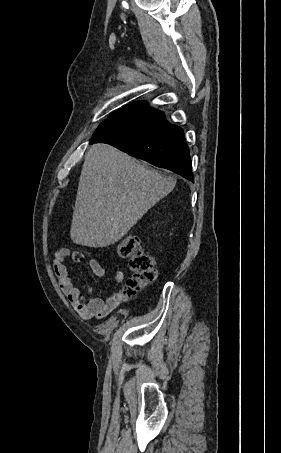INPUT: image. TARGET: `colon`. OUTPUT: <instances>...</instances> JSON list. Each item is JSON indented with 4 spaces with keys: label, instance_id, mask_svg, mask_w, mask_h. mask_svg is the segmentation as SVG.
<instances>
[{
    "label": "colon",
    "instance_id": "1",
    "mask_svg": "<svg viewBox=\"0 0 281 453\" xmlns=\"http://www.w3.org/2000/svg\"><path fill=\"white\" fill-rule=\"evenodd\" d=\"M107 250L123 259L128 264L131 277L126 283V294L131 296L142 290L149 282L157 278V272L154 268L155 259L143 251L138 238H125L115 241L107 246ZM73 259L81 261L84 256L74 252Z\"/></svg>",
    "mask_w": 281,
    "mask_h": 453
}]
</instances>
